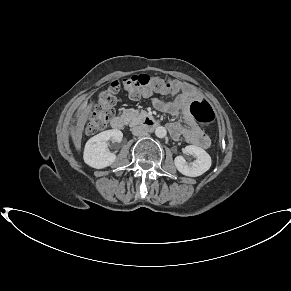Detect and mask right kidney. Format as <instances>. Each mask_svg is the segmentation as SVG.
Returning a JSON list of instances; mask_svg holds the SVG:
<instances>
[{
    "label": "right kidney",
    "mask_w": 291,
    "mask_h": 291,
    "mask_svg": "<svg viewBox=\"0 0 291 291\" xmlns=\"http://www.w3.org/2000/svg\"><path fill=\"white\" fill-rule=\"evenodd\" d=\"M123 133L118 129L107 130L90 138L84 149V162L90 167L103 169L110 166L116 155L108 150L107 141L120 142Z\"/></svg>",
    "instance_id": "obj_1"
}]
</instances>
